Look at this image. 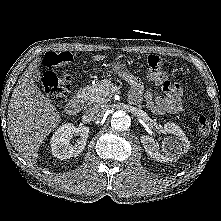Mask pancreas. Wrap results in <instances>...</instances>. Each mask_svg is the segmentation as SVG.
<instances>
[{
	"instance_id": "1",
	"label": "pancreas",
	"mask_w": 221,
	"mask_h": 221,
	"mask_svg": "<svg viewBox=\"0 0 221 221\" xmlns=\"http://www.w3.org/2000/svg\"><path fill=\"white\" fill-rule=\"evenodd\" d=\"M115 86L108 80H102L86 89L88 96L94 103H105L115 93Z\"/></svg>"
}]
</instances>
